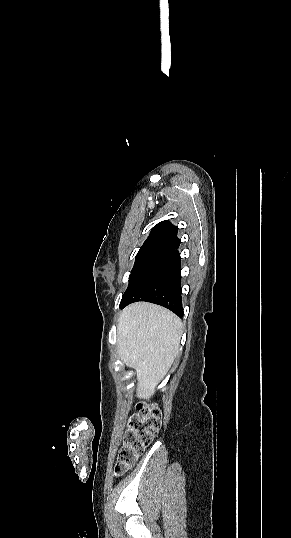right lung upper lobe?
<instances>
[{
	"label": "right lung upper lobe",
	"instance_id": "obj_1",
	"mask_svg": "<svg viewBox=\"0 0 291 538\" xmlns=\"http://www.w3.org/2000/svg\"><path fill=\"white\" fill-rule=\"evenodd\" d=\"M181 241L177 237V227L170 221L165 220L156 224L145 240L139 251L147 249L176 250Z\"/></svg>",
	"mask_w": 291,
	"mask_h": 538
}]
</instances>
